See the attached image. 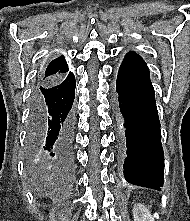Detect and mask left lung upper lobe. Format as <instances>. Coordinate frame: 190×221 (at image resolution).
Masks as SVG:
<instances>
[{
	"mask_svg": "<svg viewBox=\"0 0 190 221\" xmlns=\"http://www.w3.org/2000/svg\"><path fill=\"white\" fill-rule=\"evenodd\" d=\"M128 54H131V55L140 57V56H139L138 54H136L135 52H130V53H128Z\"/></svg>",
	"mask_w": 190,
	"mask_h": 221,
	"instance_id": "obj_1",
	"label": "left lung upper lobe"
}]
</instances>
